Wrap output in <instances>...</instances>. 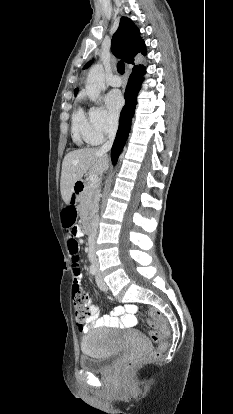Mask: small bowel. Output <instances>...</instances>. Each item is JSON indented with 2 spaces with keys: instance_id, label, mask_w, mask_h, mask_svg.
<instances>
[{
  "instance_id": "c3829d8e",
  "label": "small bowel",
  "mask_w": 233,
  "mask_h": 414,
  "mask_svg": "<svg viewBox=\"0 0 233 414\" xmlns=\"http://www.w3.org/2000/svg\"><path fill=\"white\" fill-rule=\"evenodd\" d=\"M81 235L80 231L76 230V236ZM81 243V240H78V243ZM71 256V266L74 273V284H73V293H78V290L81 287L82 279V270L80 267V262L78 261L79 253L76 250H73L70 253ZM106 299L108 302L113 303L114 298L111 295H107ZM87 311H90L88 315V320L91 322V325H85L82 328L83 332H87L91 327L100 328H131L136 325L137 318L135 316L136 306L133 304H126L124 307H116L109 314L100 315L99 308L93 304L92 300L88 298L87 301ZM85 312L86 314L88 312Z\"/></svg>"
}]
</instances>
